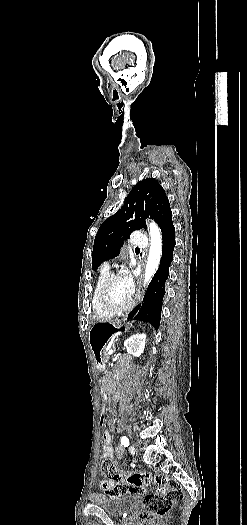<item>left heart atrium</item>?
I'll return each mask as SVG.
<instances>
[{"instance_id": "1", "label": "left heart atrium", "mask_w": 247, "mask_h": 525, "mask_svg": "<svg viewBox=\"0 0 247 525\" xmlns=\"http://www.w3.org/2000/svg\"><path fill=\"white\" fill-rule=\"evenodd\" d=\"M131 287H132V284H131V281L129 279H126V282H125V289L128 293H130L131 291Z\"/></svg>"}]
</instances>
